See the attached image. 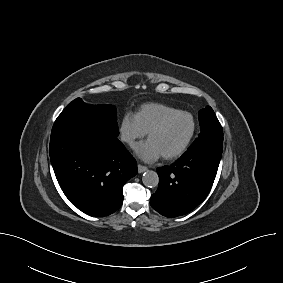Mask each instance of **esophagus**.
Wrapping results in <instances>:
<instances>
[{
	"label": "esophagus",
	"mask_w": 283,
	"mask_h": 283,
	"mask_svg": "<svg viewBox=\"0 0 283 283\" xmlns=\"http://www.w3.org/2000/svg\"><path fill=\"white\" fill-rule=\"evenodd\" d=\"M148 170V168L146 167V166H143V165H141V164H138V172L139 173H143V172H145V171H147Z\"/></svg>",
	"instance_id": "esophagus-1"
}]
</instances>
